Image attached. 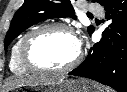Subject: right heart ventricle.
<instances>
[{
    "label": "right heart ventricle",
    "mask_w": 127,
    "mask_h": 92,
    "mask_svg": "<svg viewBox=\"0 0 127 92\" xmlns=\"http://www.w3.org/2000/svg\"><path fill=\"white\" fill-rule=\"evenodd\" d=\"M29 33V31L25 32L14 44L11 49L10 60H9V68L10 71L16 75H24L29 73V71L21 64L19 58V49L22 40Z\"/></svg>",
    "instance_id": "obj_1"
}]
</instances>
